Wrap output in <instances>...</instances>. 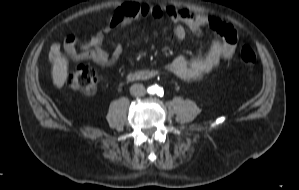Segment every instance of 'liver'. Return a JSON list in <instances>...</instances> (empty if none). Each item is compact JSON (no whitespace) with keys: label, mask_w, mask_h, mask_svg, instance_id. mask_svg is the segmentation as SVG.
Segmentation results:
<instances>
[{"label":"liver","mask_w":299,"mask_h":190,"mask_svg":"<svg viewBox=\"0 0 299 190\" xmlns=\"http://www.w3.org/2000/svg\"><path fill=\"white\" fill-rule=\"evenodd\" d=\"M68 77V60L60 57L56 60L53 66L52 78L53 83L57 88H62Z\"/></svg>","instance_id":"1"}]
</instances>
